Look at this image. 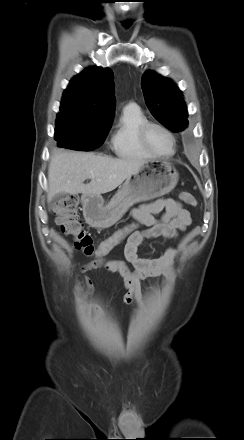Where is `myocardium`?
Instances as JSON below:
<instances>
[{
    "label": "myocardium",
    "mask_w": 244,
    "mask_h": 440,
    "mask_svg": "<svg viewBox=\"0 0 244 440\" xmlns=\"http://www.w3.org/2000/svg\"><path fill=\"white\" fill-rule=\"evenodd\" d=\"M151 128H159L162 131H164L171 138L172 143H173V150L170 154L161 155V154H157L151 150V148L149 147L148 142H147V134ZM137 136H138V141H139V144L141 145V147L147 153H149L151 156H154V157H165L166 156V157H168V156L174 155L176 152L177 141H176L174 134L167 127H165L164 125H162L160 123H156V122H152V121H147V122L143 123L138 128Z\"/></svg>",
    "instance_id": "f54148a6"
}]
</instances>
